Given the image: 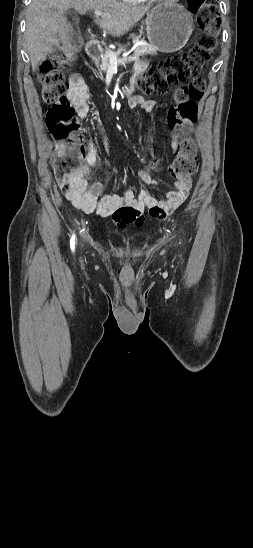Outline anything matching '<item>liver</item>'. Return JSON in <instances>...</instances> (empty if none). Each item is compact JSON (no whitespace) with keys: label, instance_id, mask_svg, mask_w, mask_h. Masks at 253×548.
<instances>
[{"label":"liver","instance_id":"1","mask_svg":"<svg viewBox=\"0 0 253 548\" xmlns=\"http://www.w3.org/2000/svg\"><path fill=\"white\" fill-rule=\"evenodd\" d=\"M71 8L80 15L91 10L101 11V18L95 23L116 37L126 34L149 11V7L117 0H32L26 17L25 39L33 71L54 47L70 39L71 26L65 14Z\"/></svg>","mask_w":253,"mask_h":548}]
</instances>
